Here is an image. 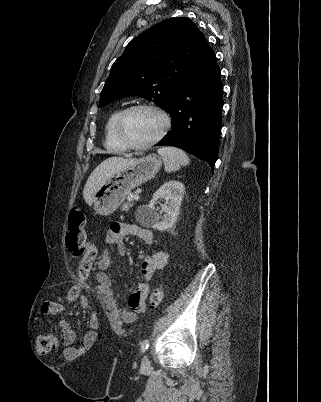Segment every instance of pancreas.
<instances>
[{
  "label": "pancreas",
  "mask_w": 321,
  "mask_h": 402,
  "mask_svg": "<svg viewBox=\"0 0 321 402\" xmlns=\"http://www.w3.org/2000/svg\"><path fill=\"white\" fill-rule=\"evenodd\" d=\"M134 206L133 201H127L121 206V211L128 212Z\"/></svg>",
  "instance_id": "1"
}]
</instances>
